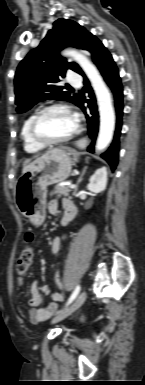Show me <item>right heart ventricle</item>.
<instances>
[{
  "mask_svg": "<svg viewBox=\"0 0 145 385\" xmlns=\"http://www.w3.org/2000/svg\"><path fill=\"white\" fill-rule=\"evenodd\" d=\"M36 113L37 112L31 113L24 120V122L22 124V127H21L20 135H21V139H22V142H23L24 150L27 153H37V152H39V151H41L43 149V147H40L37 144H35L32 141V139L30 138V135H29L30 124H31V121H32V119H33V117L35 116Z\"/></svg>",
  "mask_w": 145,
  "mask_h": 385,
  "instance_id": "obj_1",
  "label": "right heart ventricle"
}]
</instances>
